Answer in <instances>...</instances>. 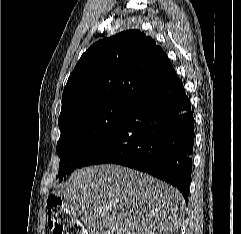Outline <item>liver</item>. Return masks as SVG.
Masks as SVG:
<instances>
[{
	"instance_id": "obj_1",
	"label": "liver",
	"mask_w": 241,
	"mask_h": 234,
	"mask_svg": "<svg viewBox=\"0 0 241 234\" xmlns=\"http://www.w3.org/2000/svg\"><path fill=\"white\" fill-rule=\"evenodd\" d=\"M57 196L81 215L88 234H174L185 211L174 187L114 164L76 170Z\"/></svg>"
}]
</instances>
